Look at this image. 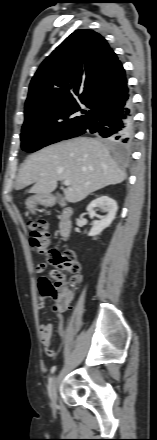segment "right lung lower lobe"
Returning <instances> with one entry per match:
<instances>
[{
    "mask_svg": "<svg viewBox=\"0 0 157 440\" xmlns=\"http://www.w3.org/2000/svg\"><path fill=\"white\" fill-rule=\"evenodd\" d=\"M82 134L88 130L98 133L110 142L128 147L134 140V126L129 98H124L90 118L84 125Z\"/></svg>",
    "mask_w": 157,
    "mask_h": 440,
    "instance_id": "98d812e1",
    "label": "right lung lower lobe"
}]
</instances>
